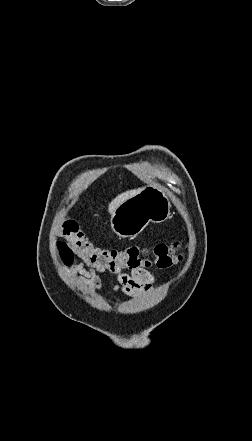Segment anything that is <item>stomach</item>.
Wrapping results in <instances>:
<instances>
[{"label": "stomach", "instance_id": "stomach-1", "mask_svg": "<svg viewBox=\"0 0 252 441\" xmlns=\"http://www.w3.org/2000/svg\"><path fill=\"white\" fill-rule=\"evenodd\" d=\"M171 203L160 188L147 186L121 203L111 216L114 233L135 238L150 223H161L170 215Z\"/></svg>", "mask_w": 252, "mask_h": 441}]
</instances>
